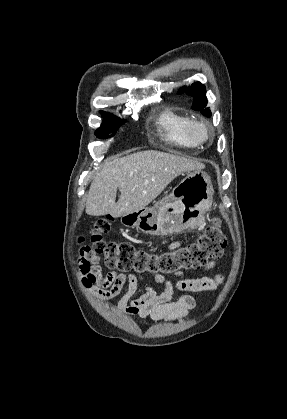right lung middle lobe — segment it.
<instances>
[{
    "label": "right lung middle lobe",
    "instance_id": "dd1d6c3e",
    "mask_svg": "<svg viewBox=\"0 0 287 419\" xmlns=\"http://www.w3.org/2000/svg\"><path fill=\"white\" fill-rule=\"evenodd\" d=\"M103 118H107L103 120V123L100 128H98L95 132V135L98 138L105 139L113 136L118 128L119 125L123 124L125 120H121L111 114H104ZM112 132V135L109 134Z\"/></svg>",
    "mask_w": 287,
    "mask_h": 419
}]
</instances>
